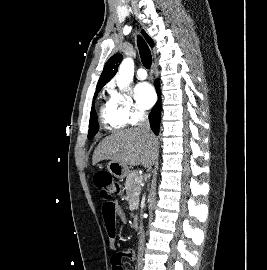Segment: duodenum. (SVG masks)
<instances>
[{
	"mask_svg": "<svg viewBox=\"0 0 267 270\" xmlns=\"http://www.w3.org/2000/svg\"><path fill=\"white\" fill-rule=\"evenodd\" d=\"M133 224L136 228L139 227V219L138 218H135L134 221H133Z\"/></svg>",
	"mask_w": 267,
	"mask_h": 270,
	"instance_id": "obj_1",
	"label": "duodenum"
}]
</instances>
